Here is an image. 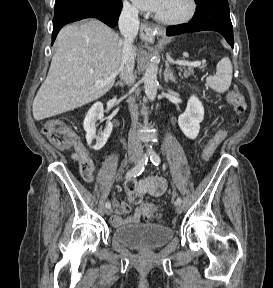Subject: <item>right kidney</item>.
Here are the masks:
<instances>
[{
  "instance_id": "1",
  "label": "right kidney",
  "mask_w": 273,
  "mask_h": 288,
  "mask_svg": "<svg viewBox=\"0 0 273 288\" xmlns=\"http://www.w3.org/2000/svg\"><path fill=\"white\" fill-rule=\"evenodd\" d=\"M103 117H104L103 104L101 102H96L89 109L83 122V127L86 132L87 143L94 150H100L104 147L113 129V124L110 121H107L106 126L101 135H96V122L98 120H103ZM93 140L96 141L94 145H92Z\"/></svg>"
}]
</instances>
